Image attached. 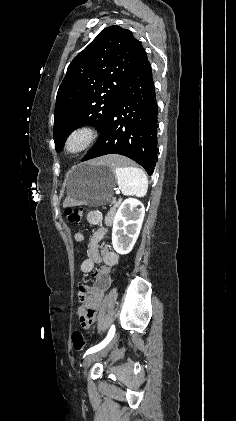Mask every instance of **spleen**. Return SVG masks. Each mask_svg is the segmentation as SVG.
I'll return each instance as SVG.
<instances>
[{
  "mask_svg": "<svg viewBox=\"0 0 236 421\" xmlns=\"http://www.w3.org/2000/svg\"><path fill=\"white\" fill-rule=\"evenodd\" d=\"M126 162L115 164L117 184L123 194L132 196H145L148 188V178L142 168L136 166H123Z\"/></svg>",
  "mask_w": 236,
  "mask_h": 421,
  "instance_id": "obj_1",
  "label": "spleen"
}]
</instances>
